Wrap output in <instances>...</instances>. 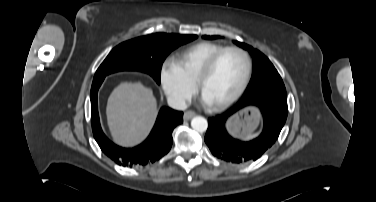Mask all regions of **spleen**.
<instances>
[{"label": "spleen", "mask_w": 376, "mask_h": 202, "mask_svg": "<svg viewBox=\"0 0 376 202\" xmlns=\"http://www.w3.org/2000/svg\"><path fill=\"white\" fill-rule=\"evenodd\" d=\"M257 135H258V134H250V135H248L244 140H245V141L251 140V139L255 138Z\"/></svg>", "instance_id": "3e777b00"}]
</instances>
